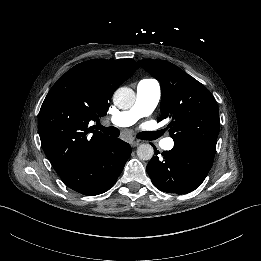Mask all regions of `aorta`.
<instances>
[{
	"mask_svg": "<svg viewBox=\"0 0 261 261\" xmlns=\"http://www.w3.org/2000/svg\"><path fill=\"white\" fill-rule=\"evenodd\" d=\"M136 101V95L133 89L129 87L118 88L113 96V102L119 109H129ZM154 155V149L150 144H142L137 148V156L144 161L150 160Z\"/></svg>",
	"mask_w": 261,
	"mask_h": 261,
	"instance_id": "1",
	"label": "aorta"
}]
</instances>
